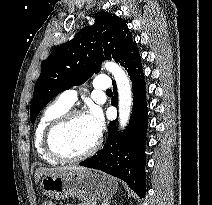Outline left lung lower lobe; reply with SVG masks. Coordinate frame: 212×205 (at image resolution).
Segmentation results:
<instances>
[{"label": "left lung lower lobe", "instance_id": "left-lung-lower-lobe-1", "mask_svg": "<svg viewBox=\"0 0 212 205\" xmlns=\"http://www.w3.org/2000/svg\"><path fill=\"white\" fill-rule=\"evenodd\" d=\"M122 66L128 71L133 89V109L129 125L123 133H118L116 121L110 122L108 139L103 149L80 165L101 170L124 180L140 198H143L146 190L144 167L148 114L144 74L135 41ZM113 90L117 96L115 81Z\"/></svg>", "mask_w": 212, "mask_h": 205}]
</instances>
